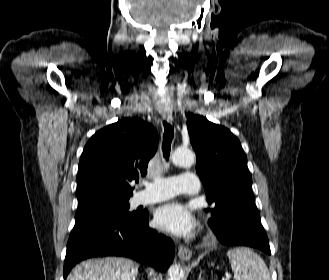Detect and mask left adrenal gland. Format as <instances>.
Listing matches in <instances>:
<instances>
[{
  "mask_svg": "<svg viewBox=\"0 0 329 280\" xmlns=\"http://www.w3.org/2000/svg\"><path fill=\"white\" fill-rule=\"evenodd\" d=\"M202 273H203V271H202V270H200V273H199V277H198V279H197V280H202Z\"/></svg>",
  "mask_w": 329,
  "mask_h": 280,
  "instance_id": "1",
  "label": "left adrenal gland"
}]
</instances>
